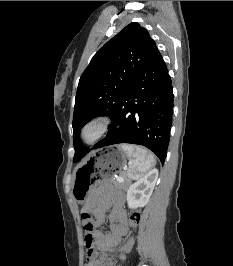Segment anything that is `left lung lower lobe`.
I'll return each instance as SVG.
<instances>
[{
  "mask_svg": "<svg viewBox=\"0 0 233 266\" xmlns=\"http://www.w3.org/2000/svg\"><path fill=\"white\" fill-rule=\"evenodd\" d=\"M173 98L171 77L156 48L112 115L107 136L94 149L119 143L138 144L152 150L164 163Z\"/></svg>",
  "mask_w": 233,
  "mask_h": 266,
  "instance_id": "1",
  "label": "left lung lower lobe"
}]
</instances>
